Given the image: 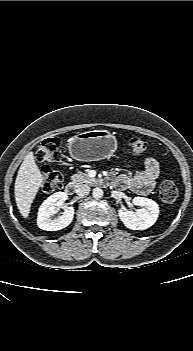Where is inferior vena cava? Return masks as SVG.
I'll return each mask as SVG.
<instances>
[{"mask_svg":"<svg viewBox=\"0 0 193 351\" xmlns=\"http://www.w3.org/2000/svg\"><path fill=\"white\" fill-rule=\"evenodd\" d=\"M75 192L78 196H85L89 194L90 187L87 184H80L75 189Z\"/></svg>","mask_w":193,"mask_h":351,"instance_id":"1","label":"inferior vena cava"}]
</instances>
